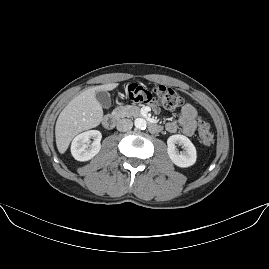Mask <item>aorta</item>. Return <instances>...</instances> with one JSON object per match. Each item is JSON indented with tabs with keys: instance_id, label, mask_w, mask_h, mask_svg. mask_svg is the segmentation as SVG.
<instances>
[{
	"instance_id": "1",
	"label": "aorta",
	"mask_w": 269,
	"mask_h": 269,
	"mask_svg": "<svg viewBox=\"0 0 269 269\" xmlns=\"http://www.w3.org/2000/svg\"><path fill=\"white\" fill-rule=\"evenodd\" d=\"M134 125H135V127L138 128V129H143V128L146 127V120L143 119V118H136V119L134 120Z\"/></svg>"
}]
</instances>
